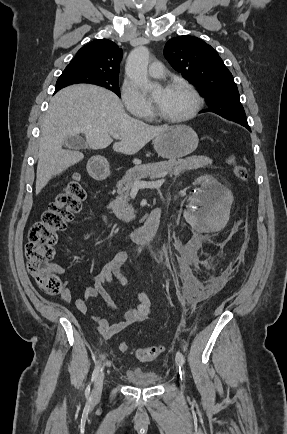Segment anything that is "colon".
I'll return each instance as SVG.
<instances>
[{
    "label": "colon",
    "instance_id": "obj_1",
    "mask_svg": "<svg viewBox=\"0 0 287 434\" xmlns=\"http://www.w3.org/2000/svg\"><path fill=\"white\" fill-rule=\"evenodd\" d=\"M228 163L239 180H247V169L237 164L234 156L228 158ZM85 198V187L80 175L75 173L49 204L41 220L35 222L29 230L28 242L25 246L28 271L41 289L50 296H58L63 291V284L59 276L50 267L55 247L59 241V234L81 210ZM119 350L126 352L127 343H120ZM161 352V346H150L137 349L135 356L139 361L148 362L157 358Z\"/></svg>",
    "mask_w": 287,
    "mask_h": 434
}]
</instances>
